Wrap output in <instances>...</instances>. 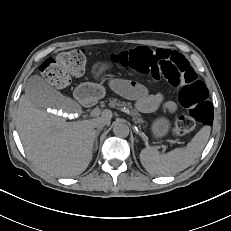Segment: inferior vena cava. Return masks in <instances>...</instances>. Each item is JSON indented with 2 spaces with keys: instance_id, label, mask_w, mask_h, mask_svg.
Masks as SVG:
<instances>
[{
  "instance_id": "obj_1",
  "label": "inferior vena cava",
  "mask_w": 231,
  "mask_h": 231,
  "mask_svg": "<svg viewBox=\"0 0 231 231\" xmlns=\"http://www.w3.org/2000/svg\"><path fill=\"white\" fill-rule=\"evenodd\" d=\"M106 125V123L102 120H98L94 123V127L101 129Z\"/></svg>"
}]
</instances>
